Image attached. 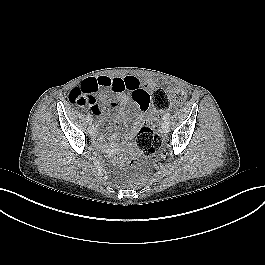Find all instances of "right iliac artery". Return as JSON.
<instances>
[{
  "label": "right iliac artery",
  "mask_w": 265,
  "mask_h": 265,
  "mask_svg": "<svg viewBox=\"0 0 265 265\" xmlns=\"http://www.w3.org/2000/svg\"><path fill=\"white\" fill-rule=\"evenodd\" d=\"M86 119H87V122H89V124L92 123V118H91L90 114L87 115Z\"/></svg>",
  "instance_id": "right-iliac-artery-1"
}]
</instances>
